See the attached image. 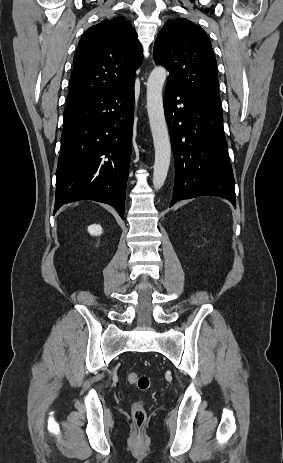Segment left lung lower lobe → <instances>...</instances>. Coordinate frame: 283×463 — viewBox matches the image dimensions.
I'll list each match as a JSON object with an SVG mask.
<instances>
[{
    "mask_svg": "<svg viewBox=\"0 0 283 463\" xmlns=\"http://www.w3.org/2000/svg\"><path fill=\"white\" fill-rule=\"evenodd\" d=\"M164 111L175 162V184L170 206L178 200L219 196L236 207L223 113L205 106L168 80Z\"/></svg>",
    "mask_w": 283,
    "mask_h": 463,
    "instance_id": "left-lung-lower-lobe-1",
    "label": "left lung lower lobe"
}]
</instances>
